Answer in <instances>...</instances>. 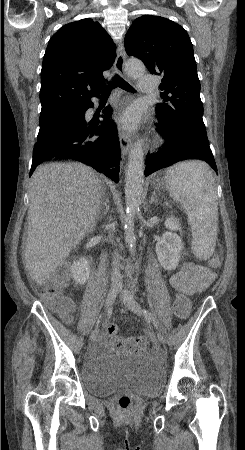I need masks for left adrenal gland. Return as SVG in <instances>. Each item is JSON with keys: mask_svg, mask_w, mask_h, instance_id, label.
Wrapping results in <instances>:
<instances>
[{"mask_svg": "<svg viewBox=\"0 0 245 450\" xmlns=\"http://www.w3.org/2000/svg\"><path fill=\"white\" fill-rule=\"evenodd\" d=\"M155 194H156V191L154 190V191L152 192L151 198H150V200H149V203H150V204H153V203L156 204V203H157V198H156Z\"/></svg>", "mask_w": 245, "mask_h": 450, "instance_id": "obj_1", "label": "left adrenal gland"}]
</instances>
